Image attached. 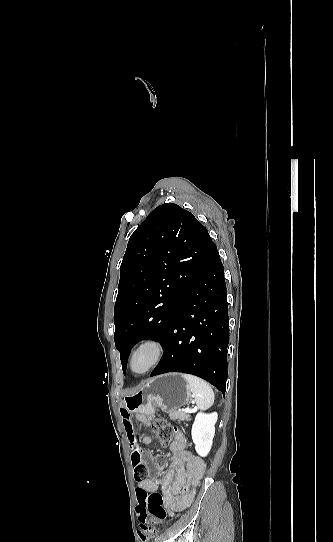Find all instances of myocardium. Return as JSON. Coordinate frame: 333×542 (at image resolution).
<instances>
[{"mask_svg":"<svg viewBox=\"0 0 333 542\" xmlns=\"http://www.w3.org/2000/svg\"><path fill=\"white\" fill-rule=\"evenodd\" d=\"M143 354L148 355V361L142 368H137L136 363ZM164 354L165 349L161 342L153 338L144 339L131 352L128 368L134 375H145L160 364Z\"/></svg>","mask_w":333,"mask_h":542,"instance_id":"myocardium-1","label":"myocardium"}]
</instances>
